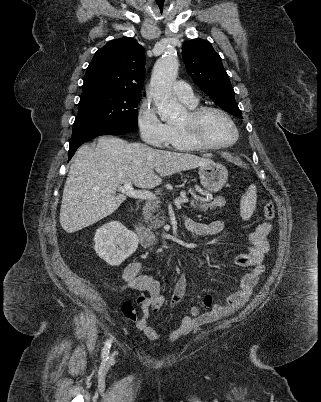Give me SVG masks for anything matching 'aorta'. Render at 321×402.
<instances>
[{"label": "aorta", "instance_id": "1", "mask_svg": "<svg viewBox=\"0 0 321 402\" xmlns=\"http://www.w3.org/2000/svg\"><path fill=\"white\" fill-rule=\"evenodd\" d=\"M178 59L175 50L167 51L154 65L149 94L162 120L176 118L184 110L172 96L171 87L178 73Z\"/></svg>", "mask_w": 321, "mask_h": 402}]
</instances>
